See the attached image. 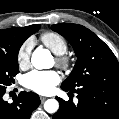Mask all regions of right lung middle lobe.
Segmentation results:
<instances>
[{
  "label": "right lung middle lobe",
  "instance_id": "obj_1",
  "mask_svg": "<svg viewBox=\"0 0 119 119\" xmlns=\"http://www.w3.org/2000/svg\"><path fill=\"white\" fill-rule=\"evenodd\" d=\"M17 42L0 43V86H9L19 72Z\"/></svg>",
  "mask_w": 119,
  "mask_h": 119
}]
</instances>
